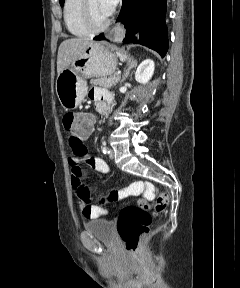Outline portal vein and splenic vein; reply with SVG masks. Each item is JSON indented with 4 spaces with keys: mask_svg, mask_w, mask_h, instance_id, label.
I'll list each match as a JSON object with an SVG mask.
<instances>
[{
    "mask_svg": "<svg viewBox=\"0 0 240 288\" xmlns=\"http://www.w3.org/2000/svg\"><path fill=\"white\" fill-rule=\"evenodd\" d=\"M116 75H118V76H119V75H120V72H118Z\"/></svg>",
    "mask_w": 240,
    "mask_h": 288,
    "instance_id": "18ae733b",
    "label": "portal vein and splenic vein"
}]
</instances>
